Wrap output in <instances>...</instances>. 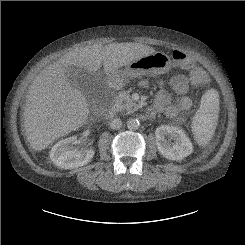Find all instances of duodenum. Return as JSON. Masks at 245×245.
Listing matches in <instances>:
<instances>
[{
    "label": "duodenum",
    "mask_w": 245,
    "mask_h": 245,
    "mask_svg": "<svg viewBox=\"0 0 245 245\" xmlns=\"http://www.w3.org/2000/svg\"><path fill=\"white\" fill-rule=\"evenodd\" d=\"M121 87V83L117 77H111L109 80V90L112 95L116 94ZM115 116V109L111 105L105 112V117L110 119Z\"/></svg>",
    "instance_id": "1"
}]
</instances>
